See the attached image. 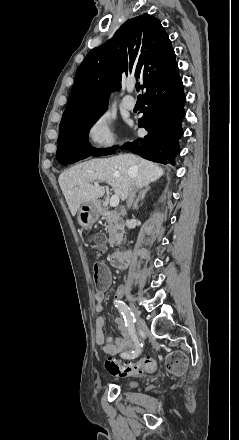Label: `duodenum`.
Wrapping results in <instances>:
<instances>
[{"mask_svg":"<svg viewBox=\"0 0 239 440\" xmlns=\"http://www.w3.org/2000/svg\"><path fill=\"white\" fill-rule=\"evenodd\" d=\"M130 259L129 251H116L110 255V264L115 268H125L128 265Z\"/></svg>","mask_w":239,"mask_h":440,"instance_id":"410a0bca","label":"duodenum"}]
</instances>
